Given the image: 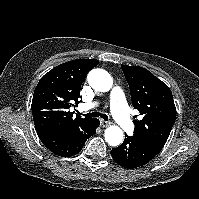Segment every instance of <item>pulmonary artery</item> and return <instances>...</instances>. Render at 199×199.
<instances>
[{
	"mask_svg": "<svg viewBox=\"0 0 199 199\" xmlns=\"http://www.w3.org/2000/svg\"><path fill=\"white\" fill-rule=\"evenodd\" d=\"M111 97V111L118 122V124L124 129L125 131H131L133 128V122L130 118L129 111L127 108V104L125 101L124 94L122 90L114 86L110 92ZM96 106V103H90L83 105V110H89Z\"/></svg>",
	"mask_w": 199,
	"mask_h": 199,
	"instance_id": "pulmonary-artery-1",
	"label": "pulmonary artery"
}]
</instances>
